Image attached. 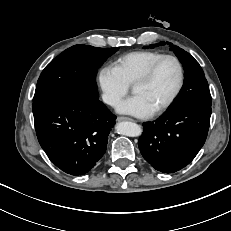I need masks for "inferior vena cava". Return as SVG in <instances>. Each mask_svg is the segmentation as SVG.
I'll use <instances>...</instances> for the list:
<instances>
[{
    "mask_svg": "<svg viewBox=\"0 0 231 231\" xmlns=\"http://www.w3.org/2000/svg\"><path fill=\"white\" fill-rule=\"evenodd\" d=\"M103 100L105 103L109 104V105H115L117 103V99L113 96H103Z\"/></svg>",
    "mask_w": 231,
    "mask_h": 231,
    "instance_id": "1",
    "label": "inferior vena cava"
}]
</instances>
